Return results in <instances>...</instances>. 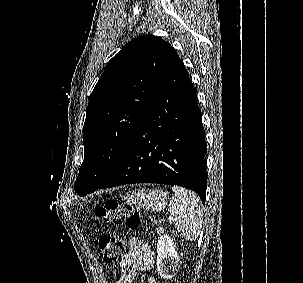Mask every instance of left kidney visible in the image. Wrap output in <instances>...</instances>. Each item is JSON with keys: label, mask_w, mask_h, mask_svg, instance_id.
Instances as JSON below:
<instances>
[{"label": "left kidney", "mask_w": 303, "mask_h": 283, "mask_svg": "<svg viewBox=\"0 0 303 283\" xmlns=\"http://www.w3.org/2000/svg\"><path fill=\"white\" fill-rule=\"evenodd\" d=\"M157 270L164 279L172 278L179 268L180 257L175 249L173 240L168 235H163L157 243Z\"/></svg>", "instance_id": "obj_1"}]
</instances>
